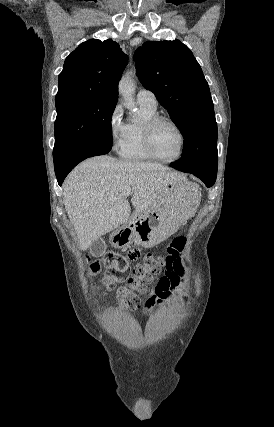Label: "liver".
<instances>
[{
	"mask_svg": "<svg viewBox=\"0 0 274 427\" xmlns=\"http://www.w3.org/2000/svg\"><path fill=\"white\" fill-rule=\"evenodd\" d=\"M185 176L170 172L161 164L116 160L112 156H95L81 162L63 182L65 210L79 239L80 249L100 235L119 227L131 214L124 190H130L134 214H143L167 202L171 188L178 190Z\"/></svg>",
	"mask_w": 274,
	"mask_h": 427,
	"instance_id": "6515ba94",
	"label": "liver"
}]
</instances>
